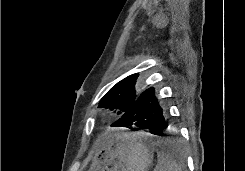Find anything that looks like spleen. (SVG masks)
<instances>
[{"mask_svg":"<svg viewBox=\"0 0 245 171\" xmlns=\"http://www.w3.org/2000/svg\"><path fill=\"white\" fill-rule=\"evenodd\" d=\"M153 171H182V169L168 153L160 152Z\"/></svg>","mask_w":245,"mask_h":171,"instance_id":"obj_1","label":"spleen"}]
</instances>
